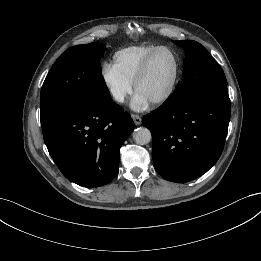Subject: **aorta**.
Returning <instances> with one entry per match:
<instances>
[{
    "instance_id": "762f6f07",
    "label": "aorta",
    "mask_w": 261,
    "mask_h": 261,
    "mask_svg": "<svg viewBox=\"0 0 261 261\" xmlns=\"http://www.w3.org/2000/svg\"><path fill=\"white\" fill-rule=\"evenodd\" d=\"M151 132L145 127H139L133 132V139L139 145H145L151 141Z\"/></svg>"
}]
</instances>
